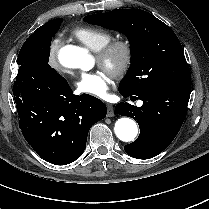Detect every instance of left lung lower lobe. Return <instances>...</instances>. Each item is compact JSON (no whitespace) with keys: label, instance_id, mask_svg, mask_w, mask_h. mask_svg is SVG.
I'll use <instances>...</instances> for the list:
<instances>
[{"label":"left lung lower lobe","instance_id":"0a47b994","mask_svg":"<svg viewBox=\"0 0 209 209\" xmlns=\"http://www.w3.org/2000/svg\"><path fill=\"white\" fill-rule=\"evenodd\" d=\"M120 93L124 97L138 96L143 101L141 107L123 102L115 107L119 115L132 117L140 127L138 139L126 145L125 151L137 159L155 157L168 147L179 132L187 114L191 86L169 87L161 84L137 94Z\"/></svg>","mask_w":209,"mask_h":209}]
</instances>
